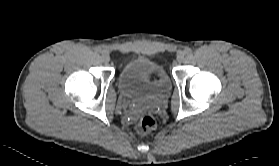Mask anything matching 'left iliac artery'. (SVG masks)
<instances>
[{
	"instance_id": "44dca946",
	"label": "left iliac artery",
	"mask_w": 279,
	"mask_h": 166,
	"mask_svg": "<svg viewBox=\"0 0 279 166\" xmlns=\"http://www.w3.org/2000/svg\"><path fill=\"white\" fill-rule=\"evenodd\" d=\"M185 54L186 55H191L192 54V50L190 48H186L185 49Z\"/></svg>"
}]
</instances>
